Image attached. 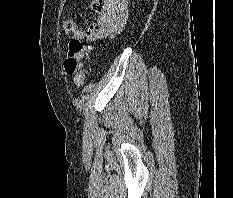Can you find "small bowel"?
I'll list each match as a JSON object with an SVG mask.
<instances>
[{"label": "small bowel", "mask_w": 233, "mask_h": 198, "mask_svg": "<svg viewBox=\"0 0 233 198\" xmlns=\"http://www.w3.org/2000/svg\"><path fill=\"white\" fill-rule=\"evenodd\" d=\"M128 15L127 0H106L105 7L100 12L97 21L86 30V39L95 42L113 37L125 28ZM69 52H73L79 62L88 52V49L82 45L79 49L74 50L71 40Z\"/></svg>", "instance_id": "c3829d8e"}]
</instances>
